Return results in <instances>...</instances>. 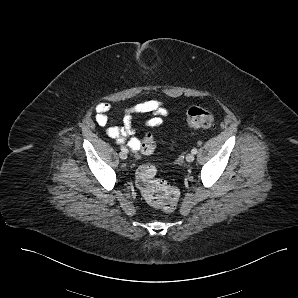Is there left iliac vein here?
Masks as SVG:
<instances>
[{
    "mask_svg": "<svg viewBox=\"0 0 298 298\" xmlns=\"http://www.w3.org/2000/svg\"><path fill=\"white\" fill-rule=\"evenodd\" d=\"M186 161L189 162V163L193 162L194 161V154H192V153L187 154L186 155Z\"/></svg>",
    "mask_w": 298,
    "mask_h": 298,
    "instance_id": "4c4485c4",
    "label": "left iliac vein"
}]
</instances>
